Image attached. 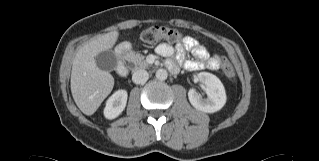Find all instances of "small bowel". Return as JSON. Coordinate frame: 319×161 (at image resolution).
I'll return each instance as SVG.
<instances>
[{"instance_id":"1","label":"small bowel","mask_w":319,"mask_h":161,"mask_svg":"<svg viewBox=\"0 0 319 161\" xmlns=\"http://www.w3.org/2000/svg\"><path fill=\"white\" fill-rule=\"evenodd\" d=\"M187 51H190L196 59L184 61ZM175 52L177 60L184 62V67L189 71L210 68L212 62L221 60L218 55L210 56L207 49L192 37L184 38L183 43L176 46L175 49L167 43H162L157 47V53L163 57H171ZM167 66L172 72L177 71L178 65L175 61L169 60Z\"/></svg>"}]
</instances>
